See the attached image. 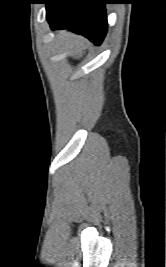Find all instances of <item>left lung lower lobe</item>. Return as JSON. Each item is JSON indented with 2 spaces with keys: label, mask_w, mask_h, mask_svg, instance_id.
I'll list each match as a JSON object with an SVG mask.
<instances>
[{
  "label": "left lung lower lobe",
  "mask_w": 166,
  "mask_h": 267,
  "mask_svg": "<svg viewBox=\"0 0 166 267\" xmlns=\"http://www.w3.org/2000/svg\"><path fill=\"white\" fill-rule=\"evenodd\" d=\"M52 30L69 29L100 45L107 32V0H45Z\"/></svg>",
  "instance_id": "obj_1"
}]
</instances>
